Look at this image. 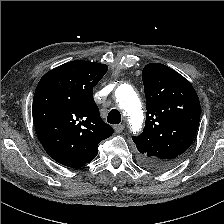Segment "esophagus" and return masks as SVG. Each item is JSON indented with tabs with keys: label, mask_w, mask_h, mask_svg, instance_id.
I'll list each match as a JSON object with an SVG mask.
<instances>
[{
	"label": "esophagus",
	"mask_w": 224,
	"mask_h": 224,
	"mask_svg": "<svg viewBox=\"0 0 224 224\" xmlns=\"http://www.w3.org/2000/svg\"><path fill=\"white\" fill-rule=\"evenodd\" d=\"M125 126L123 124H119L114 126V130L116 133H121L124 130Z\"/></svg>",
	"instance_id": "1"
}]
</instances>
